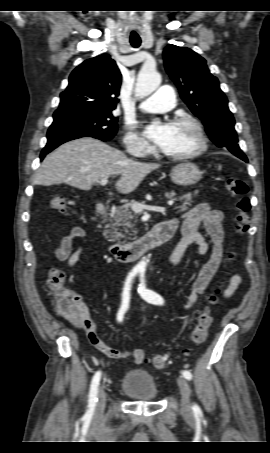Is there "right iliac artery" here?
<instances>
[{
	"mask_svg": "<svg viewBox=\"0 0 270 453\" xmlns=\"http://www.w3.org/2000/svg\"><path fill=\"white\" fill-rule=\"evenodd\" d=\"M135 275H136V272H131L126 279L125 286L123 288V294H122V304L117 313L118 322H121L123 320L124 313L127 311L128 307H129L131 283H132V280L135 277ZM100 377H101V372L97 371L92 379L90 392H89V401H88L89 404H88V410H87L86 416H91L94 411L95 403L97 401V393H98Z\"/></svg>",
	"mask_w": 270,
	"mask_h": 453,
	"instance_id": "82829eb1",
	"label": "right iliac artery"
}]
</instances>
